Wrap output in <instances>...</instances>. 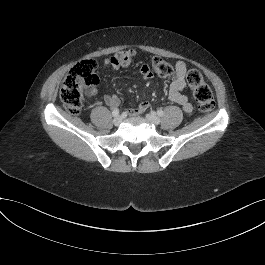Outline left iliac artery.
<instances>
[{
	"label": "left iliac artery",
	"mask_w": 265,
	"mask_h": 265,
	"mask_svg": "<svg viewBox=\"0 0 265 265\" xmlns=\"http://www.w3.org/2000/svg\"><path fill=\"white\" fill-rule=\"evenodd\" d=\"M158 116L162 117L164 115V112L162 110L157 111Z\"/></svg>",
	"instance_id": "44dca946"
}]
</instances>
